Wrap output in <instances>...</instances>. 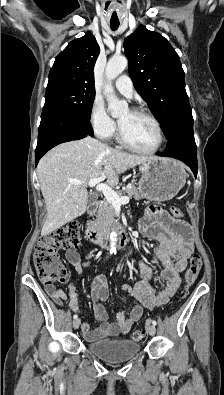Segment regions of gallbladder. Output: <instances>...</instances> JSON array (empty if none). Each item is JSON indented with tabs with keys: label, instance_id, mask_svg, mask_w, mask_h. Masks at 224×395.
<instances>
[{
	"label": "gallbladder",
	"instance_id": "1",
	"mask_svg": "<svg viewBox=\"0 0 224 395\" xmlns=\"http://www.w3.org/2000/svg\"><path fill=\"white\" fill-rule=\"evenodd\" d=\"M93 200H94V197L91 196V195H89V196H88V199H87V203L90 204V203L93 202Z\"/></svg>",
	"mask_w": 224,
	"mask_h": 395
}]
</instances>
